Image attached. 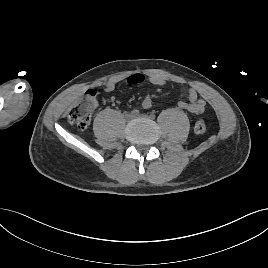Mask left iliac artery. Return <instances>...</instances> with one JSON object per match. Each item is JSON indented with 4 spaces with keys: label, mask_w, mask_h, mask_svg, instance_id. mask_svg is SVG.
<instances>
[{
    "label": "left iliac artery",
    "mask_w": 268,
    "mask_h": 268,
    "mask_svg": "<svg viewBox=\"0 0 268 268\" xmlns=\"http://www.w3.org/2000/svg\"><path fill=\"white\" fill-rule=\"evenodd\" d=\"M150 118H151V119H155V115H154V114H151V115H150Z\"/></svg>",
    "instance_id": "left-iliac-artery-1"
}]
</instances>
